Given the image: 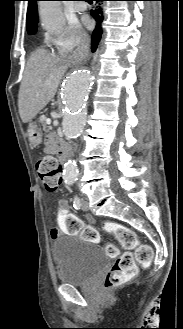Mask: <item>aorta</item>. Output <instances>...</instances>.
I'll return each mask as SVG.
<instances>
[{
	"mask_svg": "<svg viewBox=\"0 0 183 329\" xmlns=\"http://www.w3.org/2000/svg\"><path fill=\"white\" fill-rule=\"evenodd\" d=\"M40 18L44 29L52 34H59L66 22L58 1H41ZM94 87V74L86 69L74 70L67 77L61 94L64 109L62 129L68 139H76L86 124V104ZM78 168L73 160L64 165L63 178L66 184L72 185L77 180Z\"/></svg>",
	"mask_w": 183,
	"mask_h": 329,
	"instance_id": "1",
	"label": "aorta"
}]
</instances>
